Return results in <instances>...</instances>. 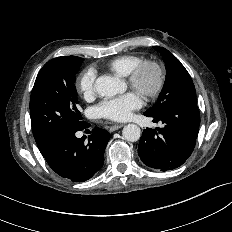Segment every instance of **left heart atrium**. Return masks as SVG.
<instances>
[{
  "mask_svg": "<svg viewBox=\"0 0 232 232\" xmlns=\"http://www.w3.org/2000/svg\"><path fill=\"white\" fill-rule=\"evenodd\" d=\"M142 98L136 92H129L122 96L101 102L96 111L99 116L112 121H125L133 111L142 107Z\"/></svg>",
  "mask_w": 232,
  "mask_h": 232,
  "instance_id": "left-heart-atrium-1",
  "label": "left heart atrium"
}]
</instances>
